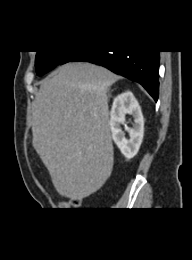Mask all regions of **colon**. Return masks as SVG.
<instances>
[{
	"instance_id": "colon-1",
	"label": "colon",
	"mask_w": 192,
	"mask_h": 260,
	"mask_svg": "<svg viewBox=\"0 0 192 260\" xmlns=\"http://www.w3.org/2000/svg\"><path fill=\"white\" fill-rule=\"evenodd\" d=\"M80 200L75 198V199H71L69 201V203H63L62 206L63 207H67V206H78L80 204Z\"/></svg>"
}]
</instances>
